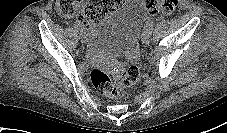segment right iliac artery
Returning a JSON list of instances; mask_svg holds the SVG:
<instances>
[{"label": "right iliac artery", "instance_id": "right-iliac-artery-1", "mask_svg": "<svg viewBox=\"0 0 227 133\" xmlns=\"http://www.w3.org/2000/svg\"><path fill=\"white\" fill-rule=\"evenodd\" d=\"M74 28L78 31V32H83L81 26L79 24H74Z\"/></svg>", "mask_w": 227, "mask_h": 133}]
</instances>
